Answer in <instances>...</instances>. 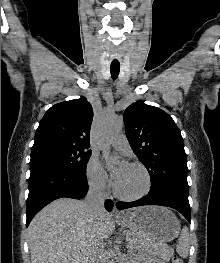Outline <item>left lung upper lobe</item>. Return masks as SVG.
Listing matches in <instances>:
<instances>
[{
    "label": "left lung upper lobe",
    "instance_id": "obj_1",
    "mask_svg": "<svg viewBox=\"0 0 220 263\" xmlns=\"http://www.w3.org/2000/svg\"><path fill=\"white\" fill-rule=\"evenodd\" d=\"M127 139L151 177L150 191L172 188L188 193L183 139L163 110L137 101L123 115Z\"/></svg>",
    "mask_w": 220,
    "mask_h": 263
}]
</instances>
